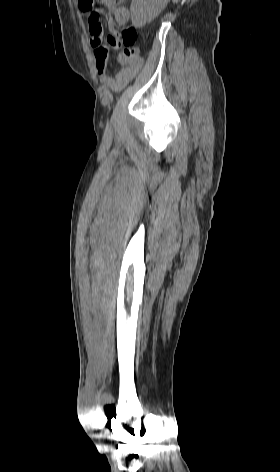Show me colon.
I'll return each instance as SVG.
<instances>
[{"label": "colon", "mask_w": 280, "mask_h": 472, "mask_svg": "<svg viewBox=\"0 0 280 472\" xmlns=\"http://www.w3.org/2000/svg\"><path fill=\"white\" fill-rule=\"evenodd\" d=\"M120 0H117L119 2ZM93 2L94 0H84L82 1L83 7L87 8L89 11H92L89 17V22L91 24H96L100 20V12L98 9L93 10ZM136 41H137V31L132 26H127L123 29L122 33L120 34V42L121 45L124 47L123 53L127 57H135L137 56V48H136Z\"/></svg>", "instance_id": "5ec220e1"}]
</instances>
